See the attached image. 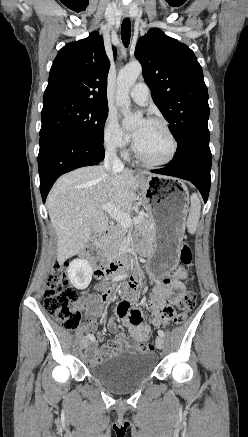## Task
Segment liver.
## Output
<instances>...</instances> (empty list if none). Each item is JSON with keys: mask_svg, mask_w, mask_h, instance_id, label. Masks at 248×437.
<instances>
[{"mask_svg": "<svg viewBox=\"0 0 248 437\" xmlns=\"http://www.w3.org/2000/svg\"><path fill=\"white\" fill-rule=\"evenodd\" d=\"M140 175H152L140 172ZM142 188L139 175L131 170H106L103 166L79 168L57 180L47 197V208L55 229L57 260L78 254L93 234L101 235L108 217L101 206L111 202L120 211L130 208Z\"/></svg>", "mask_w": 248, "mask_h": 437, "instance_id": "liver-1", "label": "liver"}]
</instances>
